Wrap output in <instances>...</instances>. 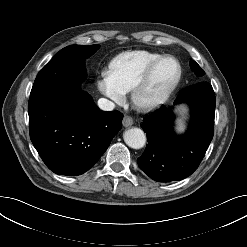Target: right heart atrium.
<instances>
[{
  "mask_svg": "<svg viewBox=\"0 0 247 247\" xmlns=\"http://www.w3.org/2000/svg\"><path fill=\"white\" fill-rule=\"evenodd\" d=\"M98 90L114 102H122L125 93L115 84L109 71H102L97 80Z\"/></svg>",
  "mask_w": 247,
  "mask_h": 247,
  "instance_id": "d8ad5b80",
  "label": "right heart atrium"
}]
</instances>
